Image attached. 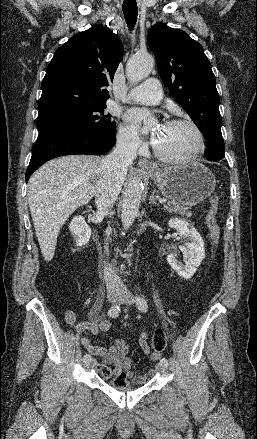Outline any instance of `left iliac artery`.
<instances>
[{
	"label": "left iliac artery",
	"mask_w": 257,
	"mask_h": 439,
	"mask_svg": "<svg viewBox=\"0 0 257 439\" xmlns=\"http://www.w3.org/2000/svg\"><path fill=\"white\" fill-rule=\"evenodd\" d=\"M136 305H137L138 309L142 312H146L148 309L147 302L143 297L138 296L136 298ZM160 364L168 365V360L166 358H162L160 360Z\"/></svg>",
	"instance_id": "left-iliac-artery-1"
}]
</instances>
